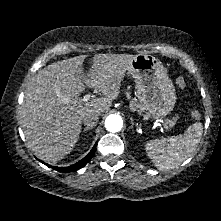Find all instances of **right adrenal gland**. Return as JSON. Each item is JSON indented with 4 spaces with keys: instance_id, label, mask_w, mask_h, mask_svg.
<instances>
[{
    "instance_id": "2a0ac1e0",
    "label": "right adrenal gland",
    "mask_w": 221,
    "mask_h": 221,
    "mask_svg": "<svg viewBox=\"0 0 221 221\" xmlns=\"http://www.w3.org/2000/svg\"><path fill=\"white\" fill-rule=\"evenodd\" d=\"M92 129H93V127H85L82 132L84 133V132H86L88 130H92Z\"/></svg>"
}]
</instances>
